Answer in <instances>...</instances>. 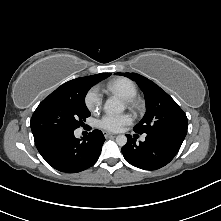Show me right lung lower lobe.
<instances>
[{"mask_svg": "<svg viewBox=\"0 0 221 221\" xmlns=\"http://www.w3.org/2000/svg\"><path fill=\"white\" fill-rule=\"evenodd\" d=\"M35 145L53 168L66 173H77L91 167L99 158L105 141L100 130L86 138L74 137V130L50 129L33 134Z\"/></svg>", "mask_w": 221, "mask_h": 221, "instance_id": "obj_1", "label": "right lung lower lobe"}]
</instances>
